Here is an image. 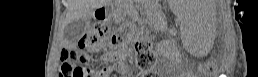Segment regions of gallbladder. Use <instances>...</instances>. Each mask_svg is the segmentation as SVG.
<instances>
[{
    "mask_svg": "<svg viewBox=\"0 0 258 77\" xmlns=\"http://www.w3.org/2000/svg\"><path fill=\"white\" fill-rule=\"evenodd\" d=\"M91 14L68 23L64 29V38L69 42L78 41L89 26Z\"/></svg>",
    "mask_w": 258,
    "mask_h": 77,
    "instance_id": "gallbladder-1",
    "label": "gallbladder"
}]
</instances>
